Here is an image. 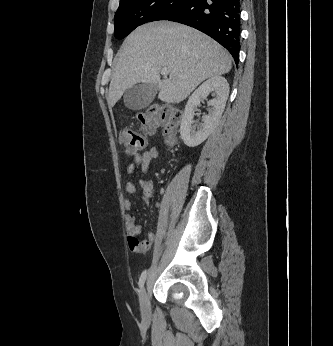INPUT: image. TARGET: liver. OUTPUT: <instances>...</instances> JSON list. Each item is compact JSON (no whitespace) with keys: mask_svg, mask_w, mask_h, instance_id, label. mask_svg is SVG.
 Listing matches in <instances>:
<instances>
[{"mask_svg":"<svg viewBox=\"0 0 333 346\" xmlns=\"http://www.w3.org/2000/svg\"><path fill=\"white\" fill-rule=\"evenodd\" d=\"M165 67L169 78L161 80ZM231 67L230 54L200 31L172 22L148 23L135 29L116 55L108 105L113 107L138 83H153L158 99L180 103L202 81L228 73Z\"/></svg>","mask_w":333,"mask_h":346,"instance_id":"liver-1","label":"liver"}]
</instances>
